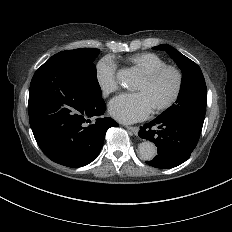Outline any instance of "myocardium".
Wrapping results in <instances>:
<instances>
[{
	"label": "myocardium",
	"instance_id": "1",
	"mask_svg": "<svg viewBox=\"0 0 232 232\" xmlns=\"http://www.w3.org/2000/svg\"><path fill=\"white\" fill-rule=\"evenodd\" d=\"M168 70L173 71L177 77L176 88H175L174 93L172 94L171 98L166 103H164L163 105L159 106L156 109L157 113H161V112L169 109L177 101V99L179 98L180 93L182 91V87H183V74L176 66L166 64V65L160 66V67L156 68L155 70L143 75V79L145 80L146 83H152L162 73H164L165 71H168Z\"/></svg>",
	"mask_w": 232,
	"mask_h": 232
}]
</instances>
